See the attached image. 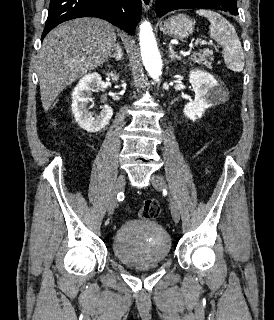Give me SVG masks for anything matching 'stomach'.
<instances>
[{"mask_svg":"<svg viewBox=\"0 0 274 320\" xmlns=\"http://www.w3.org/2000/svg\"><path fill=\"white\" fill-rule=\"evenodd\" d=\"M159 28L166 36L183 40V38H188V36L193 34L195 22L191 18H188V16H185V14H177V16L168 18L165 22H159Z\"/></svg>","mask_w":274,"mask_h":320,"instance_id":"stomach-1","label":"stomach"}]
</instances>
